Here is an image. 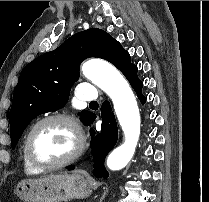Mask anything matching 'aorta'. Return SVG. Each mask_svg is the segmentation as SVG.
<instances>
[{
  "label": "aorta",
  "mask_w": 209,
  "mask_h": 202,
  "mask_svg": "<svg viewBox=\"0 0 209 202\" xmlns=\"http://www.w3.org/2000/svg\"><path fill=\"white\" fill-rule=\"evenodd\" d=\"M81 69L83 75L101 88L113 102L124 133V142L109 154L107 166L112 170H120L132 159L140 136L141 119L136 98L126 79L111 64L89 60Z\"/></svg>",
  "instance_id": "aorta-1"
}]
</instances>
